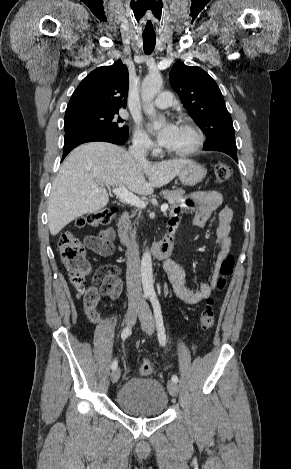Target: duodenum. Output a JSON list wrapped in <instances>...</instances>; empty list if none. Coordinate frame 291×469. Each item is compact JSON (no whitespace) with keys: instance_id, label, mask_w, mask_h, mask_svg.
Masks as SVG:
<instances>
[{"instance_id":"duodenum-1","label":"duodenum","mask_w":291,"mask_h":469,"mask_svg":"<svg viewBox=\"0 0 291 469\" xmlns=\"http://www.w3.org/2000/svg\"><path fill=\"white\" fill-rule=\"evenodd\" d=\"M175 231V227H167L166 234L162 240L153 244L149 249L153 256L158 259H166L171 255L175 242ZM118 234L123 244L126 246L132 244L129 213L127 211H124L119 219Z\"/></svg>"}]
</instances>
